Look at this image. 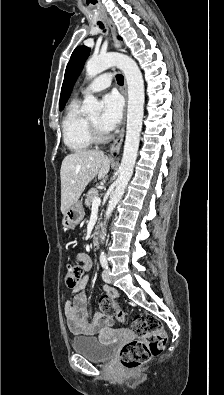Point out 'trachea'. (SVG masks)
Masks as SVG:
<instances>
[{"label":"trachea","instance_id":"3493384b","mask_svg":"<svg viewBox=\"0 0 224 395\" xmlns=\"http://www.w3.org/2000/svg\"><path fill=\"white\" fill-rule=\"evenodd\" d=\"M98 25L101 29H104V25L101 22H98ZM116 80L119 85H122L124 83V77L121 74H118L116 76Z\"/></svg>","mask_w":224,"mask_h":395}]
</instances>
